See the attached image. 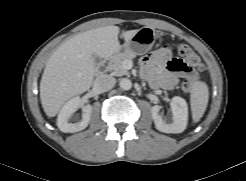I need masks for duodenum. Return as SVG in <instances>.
<instances>
[{
  "mask_svg": "<svg viewBox=\"0 0 246 181\" xmlns=\"http://www.w3.org/2000/svg\"><path fill=\"white\" fill-rule=\"evenodd\" d=\"M110 60H111L110 55L104 59V61L101 64V67L99 68L98 74H102L106 70Z\"/></svg>",
  "mask_w": 246,
  "mask_h": 181,
  "instance_id": "410a0bca",
  "label": "duodenum"
}]
</instances>
